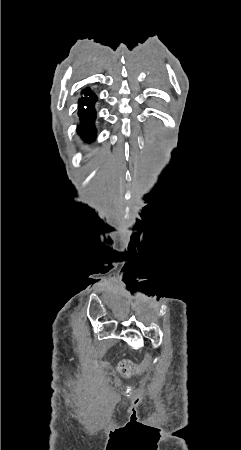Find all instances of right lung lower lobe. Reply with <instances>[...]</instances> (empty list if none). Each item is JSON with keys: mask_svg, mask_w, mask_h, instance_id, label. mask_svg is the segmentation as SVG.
I'll return each instance as SVG.
<instances>
[{"mask_svg": "<svg viewBox=\"0 0 241 450\" xmlns=\"http://www.w3.org/2000/svg\"><path fill=\"white\" fill-rule=\"evenodd\" d=\"M83 96L78 102V116L80 117V124L77 132L85 142H92L96 138L95 119L96 110L95 103L97 96L90 88H85L82 91Z\"/></svg>", "mask_w": 241, "mask_h": 450, "instance_id": "1", "label": "right lung lower lobe"}]
</instances>
